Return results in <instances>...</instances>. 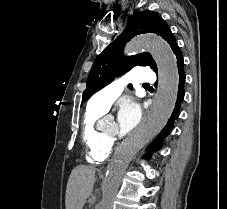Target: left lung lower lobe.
<instances>
[{"instance_id":"obj_1","label":"left lung lower lobe","mask_w":227,"mask_h":209,"mask_svg":"<svg viewBox=\"0 0 227 209\" xmlns=\"http://www.w3.org/2000/svg\"><path fill=\"white\" fill-rule=\"evenodd\" d=\"M174 54L176 55L177 64H178V73H179V90L177 95V101L175 103V108L171 114V117L169 118L167 125L161 130V132L158 134V136L153 140V142L148 146L147 151L148 155L161 148V143L163 139L169 134L171 131V128L173 127V121L176 119L179 115L180 111V105L184 98V83H185V73H184V60L183 55L180 51V48L177 47L174 51Z\"/></svg>"}]
</instances>
